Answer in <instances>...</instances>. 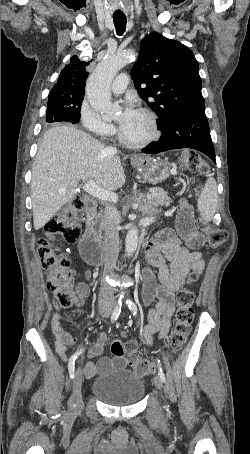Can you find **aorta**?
Instances as JSON below:
<instances>
[{
  "label": "aorta",
  "mask_w": 250,
  "mask_h": 454,
  "mask_svg": "<svg viewBox=\"0 0 250 454\" xmlns=\"http://www.w3.org/2000/svg\"><path fill=\"white\" fill-rule=\"evenodd\" d=\"M133 58V51L109 54L90 74L86 84L87 99L91 107L101 113L103 117H111L119 109L111 101L110 85L117 72ZM137 246L138 229L130 224V229L125 238L126 253H133Z\"/></svg>",
  "instance_id": "1"
}]
</instances>
